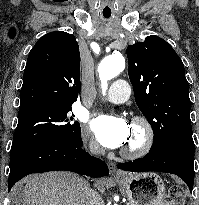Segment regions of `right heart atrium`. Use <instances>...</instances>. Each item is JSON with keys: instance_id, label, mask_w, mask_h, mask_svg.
Returning <instances> with one entry per match:
<instances>
[{"instance_id": "right-heart-atrium-1", "label": "right heart atrium", "mask_w": 199, "mask_h": 205, "mask_svg": "<svg viewBox=\"0 0 199 205\" xmlns=\"http://www.w3.org/2000/svg\"><path fill=\"white\" fill-rule=\"evenodd\" d=\"M89 151L92 154H98L100 152V148L98 147V145L95 142H90Z\"/></svg>"}]
</instances>
